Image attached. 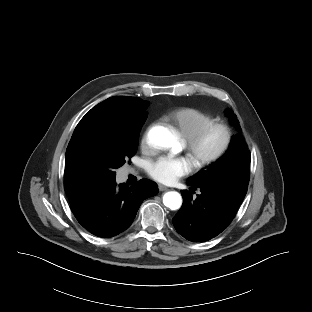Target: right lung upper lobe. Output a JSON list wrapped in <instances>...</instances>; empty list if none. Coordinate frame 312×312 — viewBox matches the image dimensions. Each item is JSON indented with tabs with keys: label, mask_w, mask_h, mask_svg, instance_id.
<instances>
[{
	"label": "right lung upper lobe",
	"mask_w": 312,
	"mask_h": 312,
	"mask_svg": "<svg viewBox=\"0 0 312 312\" xmlns=\"http://www.w3.org/2000/svg\"><path fill=\"white\" fill-rule=\"evenodd\" d=\"M147 106L148 102L138 97L114 96L93 107L86 115L97 112H112L122 116H134L145 111ZM65 188L71 207L76 206L82 199L96 191L74 188L66 182Z\"/></svg>",
	"instance_id": "obj_1"
}]
</instances>
